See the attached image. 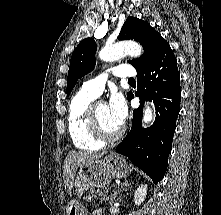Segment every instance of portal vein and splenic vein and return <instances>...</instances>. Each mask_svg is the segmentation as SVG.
<instances>
[{
    "label": "portal vein and splenic vein",
    "mask_w": 221,
    "mask_h": 215,
    "mask_svg": "<svg viewBox=\"0 0 221 215\" xmlns=\"http://www.w3.org/2000/svg\"><path fill=\"white\" fill-rule=\"evenodd\" d=\"M102 199L103 200H108V197L107 196H103Z\"/></svg>",
    "instance_id": "1"
}]
</instances>
